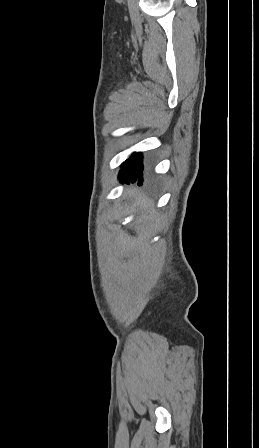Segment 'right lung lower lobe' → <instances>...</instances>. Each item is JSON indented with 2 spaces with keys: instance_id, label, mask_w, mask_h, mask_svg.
Here are the masks:
<instances>
[{
  "instance_id": "right-lung-lower-lobe-1",
  "label": "right lung lower lobe",
  "mask_w": 259,
  "mask_h": 448,
  "mask_svg": "<svg viewBox=\"0 0 259 448\" xmlns=\"http://www.w3.org/2000/svg\"><path fill=\"white\" fill-rule=\"evenodd\" d=\"M142 154L140 152L133 153L122 165L121 170L119 171L118 178L120 182H135L138 180V184L140 185L143 182V162H142Z\"/></svg>"
}]
</instances>
